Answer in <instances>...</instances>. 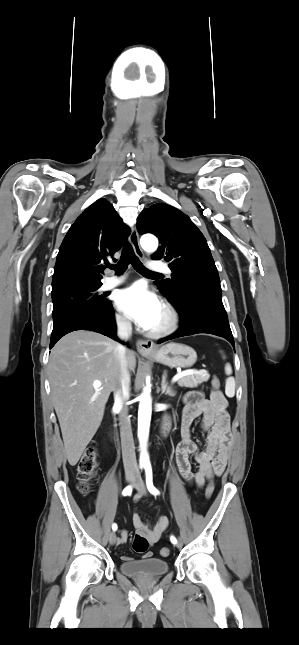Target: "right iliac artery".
I'll return each mask as SVG.
<instances>
[{"mask_svg": "<svg viewBox=\"0 0 299 645\" xmlns=\"http://www.w3.org/2000/svg\"><path fill=\"white\" fill-rule=\"evenodd\" d=\"M131 493H132V486H131V485H129V486H127L126 488H124V490H123V492H122V494H123L124 496L131 495ZM112 529H113L114 531H116V530H117V525H116V524H113V525H112Z\"/></svg>", "mask_w": 299, "mask_h": 645, "instance_id": "82829eb1", "label": "right iliac artery"}]
</instances>
